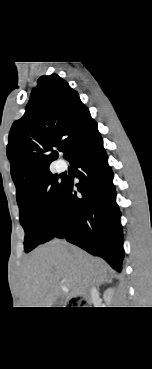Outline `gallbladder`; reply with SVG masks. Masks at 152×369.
Returning a JSON list of instances; mask_svg holds the SVG:
<instances>
[{
  "instance_id": "bac80fb5",
  "label": "gallbladder",
  "mask_w": 152,
  "mask_h": 369,
  "mask_svg": "<svg viewBox=\"0 0 152 369\" xmlns=\"http://www.w3.org/2000/svg\"><path fill=\"white\" fill-rule=\"evenodd\" d=\"M62 301H63V298H62V297H59V298H58V302H57V306H59V304H61V303H62Z\"/></svg>"
}]
</instances>
